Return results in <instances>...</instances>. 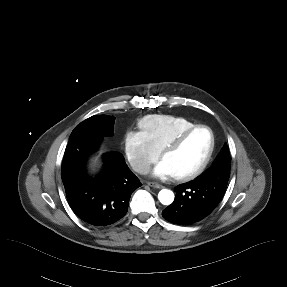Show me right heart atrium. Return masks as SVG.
<instances>
[{
  "label": "right heart atrium",
  "mask_w": 287,
  "mask_h": 287,
  "mask_svg": "<svg viewBox=\"0 0 287 287\" xmlns=\"http://www.w3.org/2000/svg\"><path fill=\"white\" fill-rule=\"evenodd\" d=\"M124 152L128 162L138 173H145L159 157V151L142 132L138 131L126 132Z\"/></svg>",
  "instance_id": "right-heart-atrium-1"
}]
</instances>
